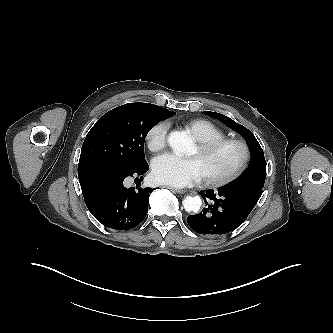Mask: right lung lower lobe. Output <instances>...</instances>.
Returning a JSON list of instances; mask_svg holds the SVG:
<instances>
[{
    "instance_id": "1",
    "label": "right lung lower lobe",
    "mask_w": 333,
    "mask_h": 333,
    "mask_svg": "<svg viewBox=\"0 0 333 333\" xmlns=\"http://www.w3.org/2000/svg\"><path fill=\"white\" fill-rule=\"evenodd\" d=\"M148 164L139 169H126L110 163L78 166V177L85 203L91 214L104 226L128 230L139 225L148 211L152 188L127 189L128 176L143 178Z\"/></svg>"
}]
</instances>
